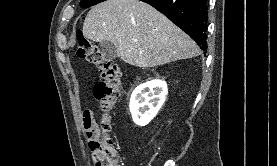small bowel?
<instances>
[{"instance_id":"small-bowel-1","label":"small bowel","mask_w":277,"mask_h":166,"mask_svg":"<svg viewBox=\"0 0 277 166\" xmlns=\"http://www.w3.org/2000/svg\"><path fill=\"white\" fill-rule=\"evenodd\" d=\"M90 119L92 122H96L95 121V115H94V113L92 112V111H85L84 113H83V125L85 126V123H86V121H87V119Z\"/></svg>"}]
</instances>
